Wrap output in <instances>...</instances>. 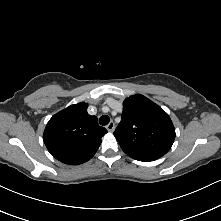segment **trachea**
Masks as SVG:
<instances>
[{"instance_id":"3493384b","label":"trachea","mask_w":221,"mask_h":221,"mask_svg":"<svg viewBox=\"0 0 221 221\" xmlns=\"http://www.w3.org/2000/svg\"><path fill=\"white\" fill-rule=\"evenodd\" d=\"M110 119L107 115H103L99 119V123L103 126L107 125L109 123Z\"/></svg>"}]
</instances>
